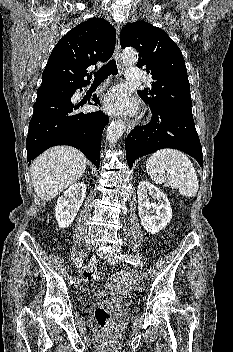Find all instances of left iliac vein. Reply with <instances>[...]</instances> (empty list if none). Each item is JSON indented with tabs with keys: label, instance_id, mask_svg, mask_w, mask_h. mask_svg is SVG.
Segmentation results:
<instances>
[{
	"label": "left iliac vein",
	"instance_id": "1",
	"mask_svg": "<svg viewBox=\"0 0 233 352\" xmlns=\"http://www.w3.org/2000/svg\"><path fill=\"white\" fill-rule=\"evenodd\" d=\"M119 254L116 251H104L100 252L99 256L107 261L117 258ZM147 279V274L144 271L140 272L139 280L145 281Z\"/></svg>",
	"mask_w": 233,
	"mask_h": 352
}]
</instances>
